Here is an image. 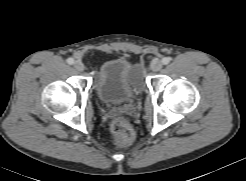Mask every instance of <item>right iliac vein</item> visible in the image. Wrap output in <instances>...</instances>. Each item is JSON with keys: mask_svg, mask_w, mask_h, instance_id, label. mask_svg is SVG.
<instances>
[{"mask_svg": "<svg viewBox=\"0 0 246 181\" xmlns=\"http://www.w3.org/2000/svg\"><path fill=\"white\" fill-rule=\"evenodd\" d=\"M74 68L77 70V71H83L84 70V64L81 62V61H76L74 62Z\"/></svg>", "mask_w": 246, "mask_h": 181, "instance_id": "obj_1", "label": "right iliac vein"}]
</instances>
